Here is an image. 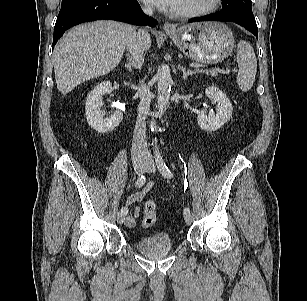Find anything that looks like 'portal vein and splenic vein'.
Instances as JSON below:
<instances>
[{"label": "portal vein and splenic vein", "mask_w": 307, "mask_h": 301, "mask_svg": "<svg viewBox=\"0 0 307 301\" xmlns=\"http://www.w3.org/2000/svg\"><path fill=\"white\" fill-rule=\"evenodd\" d=\"M190 67H192V68H201V67H203V65L202 64H197V63H192V64H190ZM232 72H237V69H232ZM223 73H229V70H226V71H223Z\"/></svg>", "instance_id": "18ae733b"}]
</instances>
